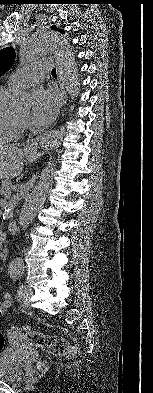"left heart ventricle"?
Masks as SVG:
<instances>
[{"mask_svg": "<svg viewBox=\"0 0 153 393\" xmlns=\"http://www.w3.org/2000/svg\"><path fill=\"white\" fill-rule=\"evenodd\" d=\"M17 116L22 119V120H27L29 117V111L28 110H24L20 113L17 114Z\"/></svg>", "mask_w": 153, "mask_h": 393, "instance_id": "obj_1", "label": "left heart ventricle"}]
</instances>
